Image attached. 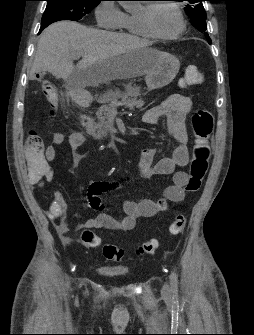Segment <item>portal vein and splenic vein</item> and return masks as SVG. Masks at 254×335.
Masks as SVG:
<instances>
[{"label":"portal vein and splenic vein","instance_id":"18ae733b","mask_svg":"<svg viewBox=\"0 0 254 335\" xmlns=\"http://www.w3.org/2000/svg\"><path fill=\"white\" fill-rule=\"evenodd\" d=\"M82 56V54H76L75 58H80Z\"/></svg>","mask_w":254,"mask_h":335}]
</instances>
